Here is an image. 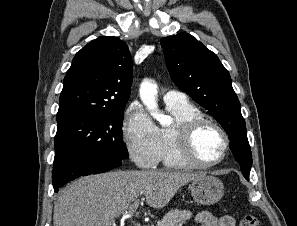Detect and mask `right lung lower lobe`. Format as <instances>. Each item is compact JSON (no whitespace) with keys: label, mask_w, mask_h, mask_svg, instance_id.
Returning <instances> with one entry per match:
<instances>
[{"label":"right lung lower lobe","mask_w":297,"mask_h":226,"mask_svg":"<svg viewBox=\"0 0 297 226\" xmlns=\"http://www.w3.org/2000/svg\"><path fill=\"white\" fill-rule=\"evenodd\" d=\"M122 164V159L99 152H78L54 158L52 183L54 191L80 176L107 172Z\"/></svg>","instance_id":"obj_1"}]
</instances>
